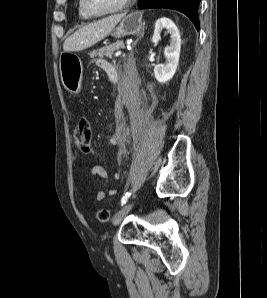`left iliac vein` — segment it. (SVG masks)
I'll return each instance as SVG.
<instances>
[{
	"mask_svg": "<svg viewBox=\"0 0 267 298\" xmlns=\"http://www.w3.org/2000/svg\"><path fill=\"white\" fill-rule=\"evenodd\" d=\"M133 207V202L124 205L114 216L113 224L118 225L124 219V217L130 212Z\"/></svg>",
	"mask_w": 267,
	"mask_h": 298,
	"instance_id": "4c4485c4",
	"label": "left iliac vein"
}]
</instances>
